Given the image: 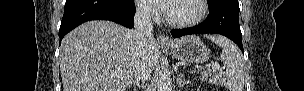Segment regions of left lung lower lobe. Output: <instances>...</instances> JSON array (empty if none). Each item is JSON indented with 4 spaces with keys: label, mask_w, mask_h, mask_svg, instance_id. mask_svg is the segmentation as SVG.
Listing matches in <instances>:
<instances>
[{
    "label": "left lung lower lobe",
    "mask_w": 304,
    "mask_h": 91,
    "mask_svg": "<svg viewBox=\"0 0 304 91\" xmlns=\"http://www.w3.org/2000/svg\"><path fill=\"white\" fill-rule=\"evenodd\" d=\"M198 33L224 35L235 42L244 53L239 25L238 0H223L214 7L209 8L208 17L197 26L171 30L174 38Z\"/></svg>",
    "instance_id": "1"
}]
</instances>
